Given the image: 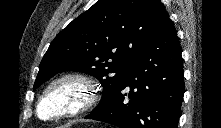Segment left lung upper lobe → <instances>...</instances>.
<instances>
[{
	"label": "left lung upper lobe",
	"mask_w": 221,
	"mask_h": 128,
	"mask_svg": "<svg viewBox=\"0 0 221 128\" xmlns=\"http://www.w3.org/2000/svg\"><path fill=\"white\" fill-rule=\"evenodd\" d=\"M167 19L160 0H98L51 42L34 89L57 73L84 72L103 86L94 110L99 109L115 95L135 56Z\"/></svg>",
	"instance_id": "left-lung-upper-lobe-1"
}]
</instances>
